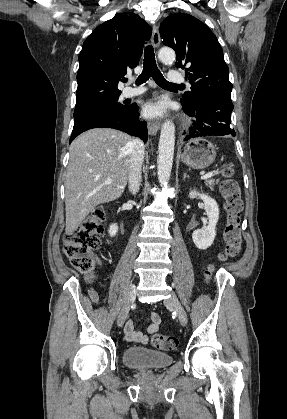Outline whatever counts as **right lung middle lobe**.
<instances>
[{
    "label": "right lung middle lobe",
    "instance_id": "1",
    "mask_svg": "<svg viewBox=\"0 0 287 419\" xmlns=\"http://www.w3.org/2000/svg\"><path fill=\"white\" fill-rule=\"evenodd\" d=\"M119 95L101 99L90 104L75 107L74 110V124L81 120L99 113H124L130 109L129 105L118 102Z\"/></svg>",
    "mask_w": 287,
    "mask_h": 419
}]
</instances>
